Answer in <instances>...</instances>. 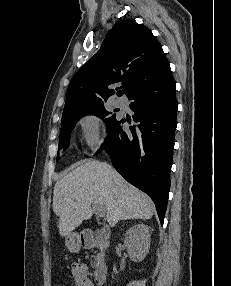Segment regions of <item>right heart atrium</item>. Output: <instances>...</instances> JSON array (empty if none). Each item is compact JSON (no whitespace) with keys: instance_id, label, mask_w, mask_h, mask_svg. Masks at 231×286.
I'll list each match as a JSON object with an SVG mask.
<instances>
[{"instance_id":"d8ad5b80","label":"right heart atrium","mask_w":231,"mask_h":286,"mask_svg":"<svg viewBox=\"0 0 231 286\" xmlns=\"http://www.w3.org/2000/svg\"><path fill=\"white\" fill-rule=\"evenodd\" d=\"M81 138L86 147L91 151H96L102 146V123L96 114L90 113L81 117L79 121Z\"/></svg>"}]
</instances>
